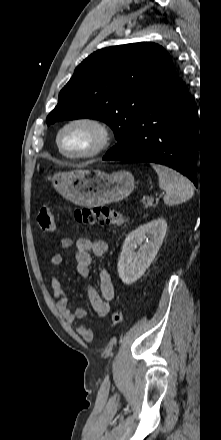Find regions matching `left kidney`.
<instances>
[{
  "instance_id": "5707ae66",
  "label": "left kidney",
  "mask_w": 221,
  "mask_h": 440,
  "mask_svg": "<svg viewBox=\"0 0 221 440\" xmlns=\"http://www.w3.org/2000/svg\"><path fill=\"white\" fill-rule=\"evenodd\" d=\"M166 231V221L158 218L141 225L126 237L118 260V274L123 283L130 285L145 273L157 255ZM137 245L140 248L135 252Z\"/></svg>"
}]
</instances>
